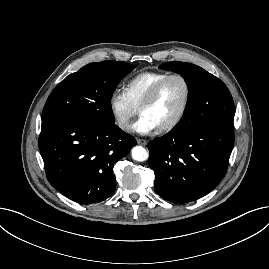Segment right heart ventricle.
Returning a JSON list of instances; mask_svg holds the SVG:
<instances>
[{
	"label": "right heart ventricle",
	"mask_w": 269,
	"mask_h": 269,
	"mask_svg": "<svg viewBox=\"0 0 269 269\" xmlns=\"http://www.w3.org/2000/svg\"><path fill=\"white\" fill-rule=\"evenodd\" d=\"M168 75L167 72L162 71L141 72L125 84L124 92L129 101L138 109L151 89Z\"/></svg>",
	"instance_id": "obj_1"
}]
</instances>
